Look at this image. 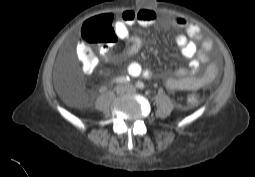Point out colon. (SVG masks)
Instances as JSON below:
<instances>
[{
    "label": "colon",
    "instance_id": "colon-1",
    "mask_svg": "<svg viewBox=\"0 0 255 177\" xmlns=\"http://www.w3.org/2000/svg\"><path fill=\"white\" fill-rule=\"evenodd\" d=\"M82 47L78 48L77 53L82 65L91 68L95 64L94 56L89 50L90 44H99L104 46L113 45L117 36L114 33L111 22L106 15L85 21L81 28ZM193 101L199 99L198 96H192Z\"/></svg>",
    "mask_w": 255,
    "mask_h": 177
}]
</instances>
